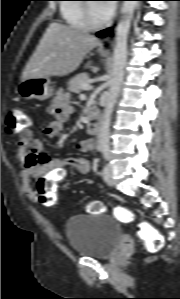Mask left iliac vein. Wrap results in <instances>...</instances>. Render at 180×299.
I'll list each match as a JSON object with an SVG mask.
<instances>
[{
    "mask_svg": "<svg viewBox=\"0 0 180 299\" xmlns=\"http://www.w3.org/2000/svg\"><path fill=\"white\" fill-rule=\"evenodd\" d=\"M103 179L110 186H112L114 184V181H113V178H112V167H111L110 164H106L104 166Z\"/></svg>",
    "mask_w": 180,
    "mask_h": 299,
    "instance_id": "obj_1",
    "label": "left iliac vein"
}]
</instances>
